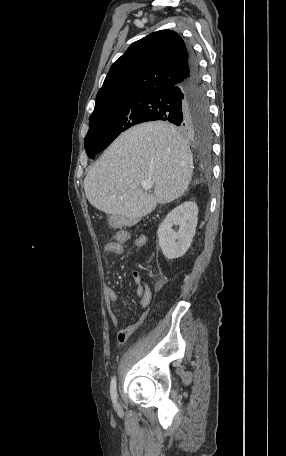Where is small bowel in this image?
Returning a JSON list of instances; mask_svg holds the SVG:
<instances>
[{"mask_svg": "<svg viewBox=\"0 0 286 456\" xmlns=\"http://www.w3.org/2000/svg\"><path fill=\"white\" fill-rule=\"evenodd\" d=\"M129 238L130 234L128 231H118L113 239L105 243V253L115 256L123 255V245L129 240ZM134 244L137 248H144L147 244V236L143 234L137 236ZM131 278L136 286L135 293L138 297H140V313L134 323L128 325L127 327L118 332L117 339L121 343L125 342L131 335V333L136 329V327L145 320V318L148 315L150 304L152 301V291L150 287L144 282L142 275L137 271H133L131 273ZM105 296L108 301L107 311L110 321L114 327H117L119 319L110 306V304H115L117 302V293L113 288L107 287L105 289Z\"/></svg>", "mask_w": 286, "mask_h": 456, "instance_id": "1", "label": "small bowel"}]
</instances>
